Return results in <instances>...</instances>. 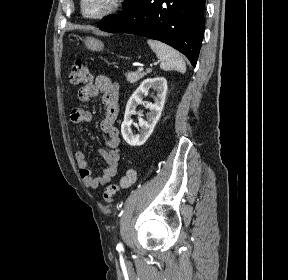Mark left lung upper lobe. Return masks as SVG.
<instances>
[{"instance_id": "left-lung-upper-lobe-1", "label": "left lung upper lobe", "mask_w": 288, "mask_h": 280, "mask_svg": "<svg viewBox=\"0 0 288 280\" xmlns=\"http://www.w3.org/2000/svg\"><path fill=\"white\" fill-rule=\"evenodd\" d=\"M135 0H125L124 3H123V9L129 7L130 5H132V3L134 2Z\"/></svg>"}]
</instances>
